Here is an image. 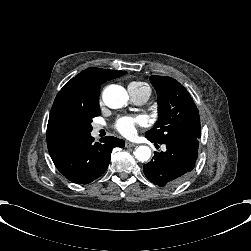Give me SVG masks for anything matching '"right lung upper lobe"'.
I'll list each match as a JSON object with an SVG mask.
<instances>
[{"label":"right lung upper lobe","mask_w":251,"mask_h":251,"mask_svg":"<svg viewBox=\"0 0 251 251\" xmlns=\"http://www.w3.org/2000/svg\"><path fill=\"white\" fill-rule=\"evenodd\" d=\"M125 73L126 71L88 68L65 84L57 94L49 115L47 146L51 157L65 152L87 136L79 124V116L100 109L101 84Z\"/></svg>","instance_id":"right-lung-upper-lobe-1"}]
</instances>
